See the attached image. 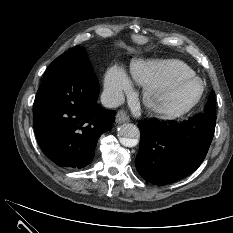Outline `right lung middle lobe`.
<instances>
[{
    "label": "right lung middle lobe",
    "mask_w": 233,
    "mask_h": 233,
    "mask_svg": "<svg viewBox=\"0 0 233 233\" xmlns=\"http://www.w3.org/2000/svg\"><path fill=\"white\" fill-rule=\"evenodd\" d=\"M54 66H91L83 47L76 46L55 59L49 67Z\"/></svg>",
    "instance_id": "obj_1"
}]
</instances>
